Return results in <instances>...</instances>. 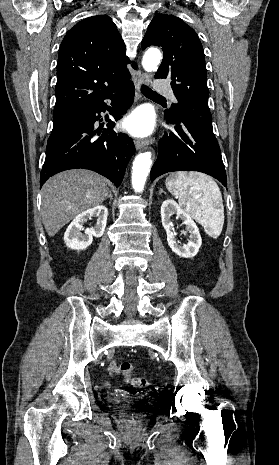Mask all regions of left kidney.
Returning <instances> with one entry per match:
<instances>
[{"mask_svg": "<svg viewBox=\"0 0 279 465\" xmlns=\"http://www.w3.org/2000/svg\"><path fill=\"white\" fill-rule=\"evenodd\" d=\"M173 214H176L179 218H181L186 225V231H183V233H189V240L186 244H183V246L176 241L175 235L171 231L172 222L170 218ZM161 219L162 225L166 230L167 242L171 250L183 258H191L195 256L202 244V239L198 227L190 215L173 199H167L161 205Z\"/></svg>", "mask_w": 279, "mask_h": 465, "instance_id": "obj_1", "label": "left kidney"}]
</instances>
